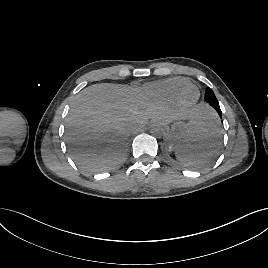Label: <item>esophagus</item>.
Returning <instances> with one entry per match:
<instances>
[{"instance_id":"1","label":"esophagus","mask_w":268,"mask_h":268,"mask_svg":"<svg viewBox=\"0 0 268 268\" xmlns=\"http://www.w3.org/2000/svg\"><path fill=\"white\" fill-rule=\"evenodd\" d=\"M152 123H153L154 125H157V124H159L160 122H159V120H154Z\"/></svg>"}]
</instances>
